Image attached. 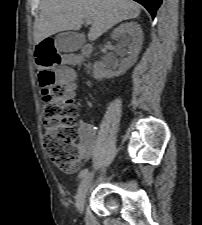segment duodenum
<instances>
[{
    "label": "duodenum",
    "mask_w": 202,
    "mask_h": 225,
    "mask_svg": "<svg viewBox=\"0 0 202 225\" xmlns=\"http://www.w3.org/2000/svg\"><path fill=\"white\" fill-rule=\"evenodd\" d=\"M83 52L87 56L91 52V46L85 45L83 48Z\"/></svg>",
    "instance_id": "1"
}]
</instances>
